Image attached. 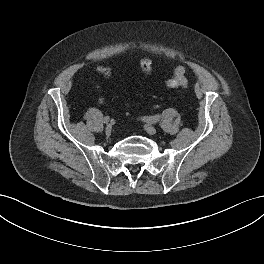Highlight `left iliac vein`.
Here are the masks:
<instances>
[{"mask_svg": "<svg viewBox=\"0 0 264 264\" xmlns=\"http://www.w3.org/2000/svg\"><path fill=\"white\" fill-rule=\"evenodd\" d=\"M144 129L150 135H154L156 133V128L150 124H146L144 126Z\"/></svg>", "mask_w": 264, "mask_h": 264, "instance_id": "4c4485c4", "label": "left iliac vein"}]
</instances>
